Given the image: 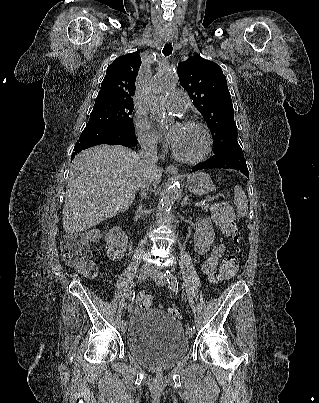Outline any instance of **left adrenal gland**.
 <instances>
[{"label": "left adrenal gland", "mask_w": 319, "mask_h": 403, "mask_svg": "<svg viewBox=\"0 0 319 403\" xmlns=\"http://www.w3.org/2000/svg\"><path fill=\"white\" fill-rule=\"evenodd\" d=\"M188 195H186L185 197H184V199L182 200V202H181V206L183 207V206H185V205H191L190 203H188Z\"/></svg>", "instance_id": "obj_1"}]
</instances>
